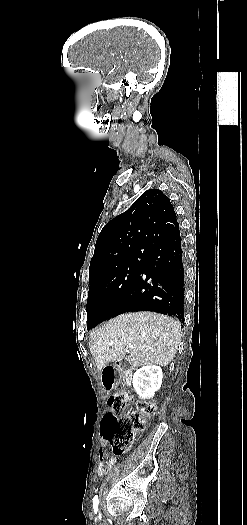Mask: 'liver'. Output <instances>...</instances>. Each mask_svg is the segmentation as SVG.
<instances>
[{"instance_id":"6515ba94","label":"liver","mask_w":247,"mask_h":525,"mask_svg":"<svg viewBox=\"0 0 247 525\" xmlns=\"http://www.w3.org/2000/svg\"><path fill=\"white\" fill-rule=\"evenodd\" d=\"M180 329L179 321L160 313H124L91 333L89 349L98 371L122 359L133 367H168L176 355Z\"/></svg>"}]
</instances>
